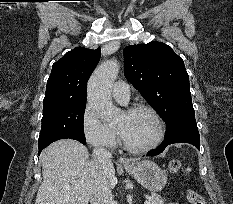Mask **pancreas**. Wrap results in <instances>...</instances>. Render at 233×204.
<instances>
[{
  "mask_svg": "<svg viewBox=\"0 0 233 204\" xmlns=\"http://www.w3.org/2000/svg\"><path fill=\"white\" fill-rule=\"evenodd\" d=\"M150 201L151 204H164L165 199H163L160 195L154 193L150 196Z\"/></svg>",
  "mask_w": 233,
  "mask_h": 204,
  "instance_id": "1",
  "label": "pancreas"
}]
</instances>
